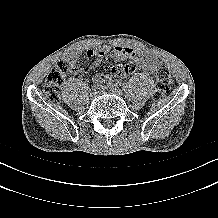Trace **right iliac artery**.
<instances>
[{
	"instance_id": "82829eb1",
	"label": "right iliac artery",
	"mask_w": 218,
	"mask_h": 218,
	"mask_svg": "<svg viewBox=\"0 0 218 218\" xmlns=\"http://www.w3.org/2000/svg\"><path fill=\"white\" fill-rule=\"evenodd\" d=\"M102 83H103V80H102V79H100V78L96 79V78H95V79H94V84H93V87H92V88L101 87Z\"/></svg>"
}]
</instances>
